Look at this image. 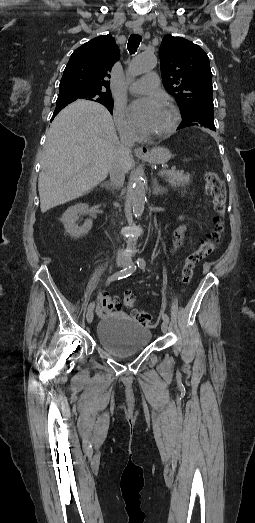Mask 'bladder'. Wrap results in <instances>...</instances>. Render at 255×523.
<instances>
[{
    "label": "bladder",
    "mask_w": 255,
    "mask_h": 523,
    "mask_svg": "<svg viewBox=\"0 0 255 523\" xmlns=\"http://www.w3.org/2000/svg\"><path fill=\"white\" fill-rule=\"evenodd\" d=\"M128 324L119 328L111 318L99 323L96 338L106 352L118 356L140 352L150 343L151 330L126 318Z\"/></svg>",
    "instance_id": "bladder-1"
}]
</instances>
